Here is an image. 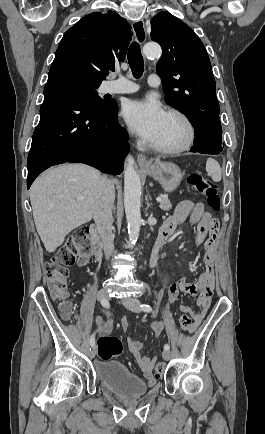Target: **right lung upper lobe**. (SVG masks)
Returning <instances> with one entry per match:
<instances>
[{"label":"right lung upper lobe","mask_w":265,"mask_h":434,"mask_svg":"<svg viewBox=\"0 0 265 434\" xmlns=\"http://www.w3.org/2000/svg\"><path fill=\"white\" fill-rule=\"evenodd\" d=\"M114 11L84 16L64 34L48 76L70 74L103 81L115 60L123 61L132 32Z\"/></svg>","instance_id":"cb5924a9"}]
</instances>
